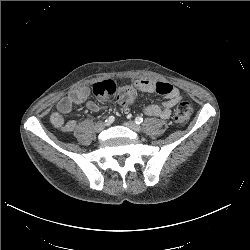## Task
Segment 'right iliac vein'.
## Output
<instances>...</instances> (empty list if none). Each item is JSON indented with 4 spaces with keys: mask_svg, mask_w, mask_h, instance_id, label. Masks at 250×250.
<instances>
[{
    "mask_svg": "<svg viewBox=\"0 0 250 250\" xmlns=\"http://www.w3.org/2000/svg\"><path fill=\"white\" fill-rule=\"evenodd\" d=\"M94 128H95L96 132H100L105 128V123L100 121V122L96 123Z\"/></svg>",
    "mask_w": 250,
    "mask_h": 250,
    "instance_id": "1",
    "label": "right iliac vein"
}]
</instances>
